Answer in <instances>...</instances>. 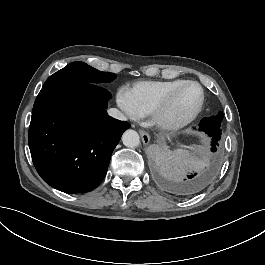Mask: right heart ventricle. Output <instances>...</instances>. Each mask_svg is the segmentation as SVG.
<instances>
[{
	"label": "right heart ventricle",
	"mask_w": 265,
	"mask_h": 265,
	"mask_svg": "<svg viewBox=\"0 0 265 265\" xmlns=\"http://www.w3.org/2000/svg\"><path fill=\"white\" fill-rule=\"evenodd\" d=\"M184 78H172L160 81H139L129 87L141 117L153 113Z\"/></svg>",
	"instance_id": "e07e8e85"
}]
</instances>
